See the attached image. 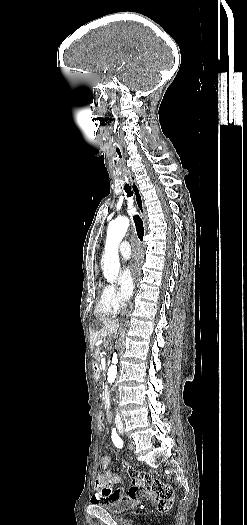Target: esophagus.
I'll return each instance as SVG.
<instances>
[{
    "mask_svg": "<svg viewBox=\"0 0 247 525\" xmlns=\"http://www.w3.org/2000/svg\"><path fill=\"white\" fill-rule=\"evenodd\" d=\"M131 184H132V190L134 192L135 203L137 205L138 210L140 211V213L144 217L145 226H147V223H146V212H145V207H144V203H143V197H142V194L140 192V188H139L136 180H131Z\"/></svg>",
    "mask_w": 247,
    "mask_h": 525,
    "instance_id": "1",
    "label": "esophagus"
}]
</instances>
